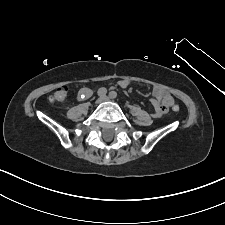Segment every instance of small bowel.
<instances>
[{
  "label": "small bowel",
  "mask_w": 225,
  "mask_h": 225,
  "mask_svg": "<svg viewBox=\"0 0 225 225\" xmlns=\"http://www.w3.org/2000/svg\"><path fill=\"white\" fill-rule=\"evenodd\" d=\"M131 84L130 80L123 79L120 80L118 85L121 88H126ZM91 95V90L89 88H81L78 92V99L84 100ZM151 102L155 108V111L153 113L154 117H160L162 114L174 103L173 96L167 92L162 87H154L152 90V98Z\"/></svg>",
  "instance_id": "c3829d8e"
}]
</instances>
